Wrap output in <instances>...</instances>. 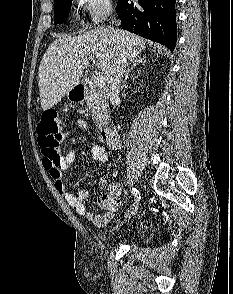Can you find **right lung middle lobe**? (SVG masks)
Segmentation results:
<instances>
[{"label": "right lung middle lobe", "mask_w": 233, "mask_h": 294, "mask_svg": "<svg viewBox=\"0 0 233 294\" xmlns=\"http://www.w3.org/2000/svg\"><path fill=\"white\" fill-rule=\"evenodd\" d=\"M54 24L63 23L68 16L72 0H54Z\"/></svg>", "instance_id": "dd1d6c3e"}]
</instances>
